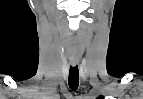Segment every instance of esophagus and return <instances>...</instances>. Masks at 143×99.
I'll use <instances>...</instances> for the list:
<instances>
[{
    "mask_svg": "<svg viewBox=\"0 0 143 99\" xmlns=\"http://www.w3.org/2000/svg\"><path fill=\"white\" fill-rule=\"evenodd\" d=\"M72 65H73V66H75V65H76V62H75V61H74V62H72Z\"/></svg>",
    "mask_w": 143,
    "mask_h": 99,
    "instance_id": "34e87169",
    "label": "esophagus"
}]
</instances>
